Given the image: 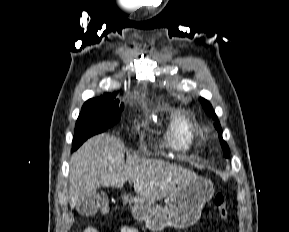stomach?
<instances>
[{
    "instance_id": "0dacf381",
    "label": "stomach",
    "mask_w": 289,
    "mask_h": 232,
    "mask_svg": "<svg viewBox=\"0 0 289 232\" xmlns=\"http://www.w3.org/2000/svg\"><path fill=\"white\" fill-rule=\"evenodd\" d=\"M214 194L213 183L196 176L179 191L165 200L164 206L144 197H124L131 205L132 215L152 232L166 227L185 229L194 225L200 218L203 206Z\"/></svg>"
}]
</instances>
